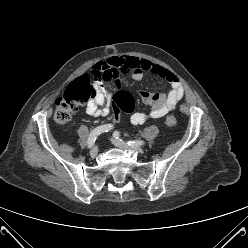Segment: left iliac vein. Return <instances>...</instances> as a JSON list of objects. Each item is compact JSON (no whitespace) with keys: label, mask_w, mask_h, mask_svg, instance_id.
<instances>
[{"label":"left iliac vein","mask_w":248,"mask_h":248,"mask_svg":"<svg viewBox=\"0 0 248 248\" xmlns=\"http://www.w3.org/2000/svg\"><path fill=\"white\" fill-rule=\"evenodd\" d=\"M111 142L115 146H118V147H121V148H124V149L137 151L139 153H143V149L138 145H129L128 143L120 141L119 139H116V138H111Z\"/></svg>","instance_id":"4c4485c4"}]
</instances>
